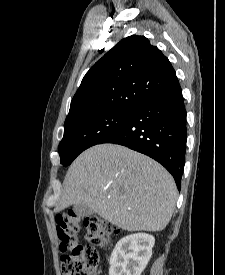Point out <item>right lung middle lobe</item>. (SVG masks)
I'll return each instance as SVG.
<instances>
[{
  "instance_id": "dd1d6c3e",
  "label": "right lung middle lobe",
  "mask_w": 225,
  "mask_h": 275,
  "mask_svg": "<svg viewBox=\"0 0 225 275\" xmlns=\"http://www.w3.org/2000/svg\"><path fill=\"white\" fill-rule=\"evenodd\" d=\"M132 110L109 111L76 119L64 126L59 144L61 164L68 166L85 149L99 142L119 127Z\"/></svg>"
}]
</instances>
